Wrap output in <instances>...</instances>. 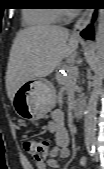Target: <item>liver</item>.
I'll use <instances>...</instances> for the list:
<instances>
[{
    "label": "liver",
    "mask_w": 104,
    "mask_h": 169,
    "mask_svg": "<svg viewBox=\"0 0 104 169\" xmlns=\"http://www.w3.org/2000/svg\"><path fill=\"white\" fill-rule=\"evenodd\" d=\"M78 37L60 26L39 25L21 30L13 41L6 72V89L12 101L28 80L50 75L78 48Z\"/></svg>",
    "instance_id": "1"
}]
</instances>
